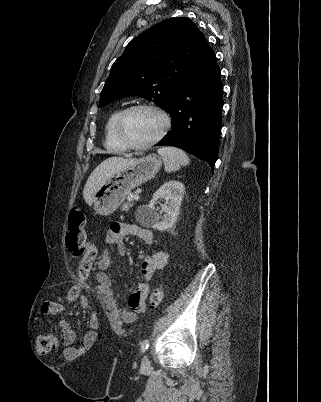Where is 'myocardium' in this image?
<instances>
[{"instance_id":"myocardium-1","label":"myocardium","mask_w":321,"mask_h":402,"mask_svg":"<svg viewBox=\"0 0 321 402\" xmlns=\"http://www.w3.org/2000/svg\"><path fill=\"white\" fill-rule=\"evenodd\" d=\"M141 109L151 110V111L156 112L161 117L163 124H162V128H161L160 132L158 133V135L156 137H154L152 140H150L146 143H143V144H134V143L130 142L124 135L123 123H124L126 116L130 112L135 111V110H141ZM170 125H171L170 117L162 108H160L156 105H153V104H149V103H139V104H134V105L128 106L120 112V114L116 120V123H115V132H116L117 138L119 139L121 144L126 149L142 151V150L149 149L152 146H154L155 144H157L166 135V133L168 132V130L170 128Z\"/></svg>"}]
</instances>
